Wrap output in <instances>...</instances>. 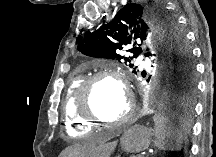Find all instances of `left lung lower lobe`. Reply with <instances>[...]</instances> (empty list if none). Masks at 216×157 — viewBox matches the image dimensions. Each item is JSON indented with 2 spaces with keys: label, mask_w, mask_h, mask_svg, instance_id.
<instances>
[{
  "label": "left lung lower lobe",
  "mask_w": 216,
  "mask_h": 157,
  "mask_svg": "<svg viewBox=\"0 0 216 157\" xmlns=\"http://www.w3.org/2000/svg\"><path fill=\"white\" fill-rule=\"evenodd\" d=\"M162 86L171 106L174 107L171 115L174 122L172 124L177 131L184 135L189 131L190 127L189 119L192 114L193 100L196 93V82L184 87L182 90H178L171 80L167 82L162 80Z\"/></svg>",
  "instance_id": "obj_1"
}]
</instances>
